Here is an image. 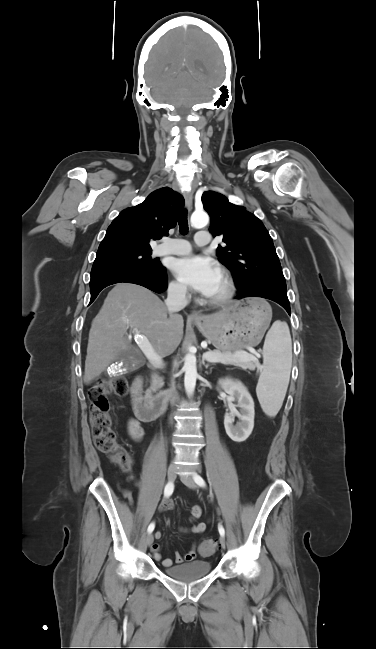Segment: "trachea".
Segmentation results:
<instances>
[{
  "instance_id": "trachea-1",
  "label": "trachea",
  "mask_w": 376,
  "mask_h": 649,
  "mask_svg": "<svg viewBox=\"0 0 376 649\" xmlns=\"http://www.w3.org/2000/svg\"><path fill=\"white\" fill-rule=\"evenodd\" d=\"M179 229H180V233L183 234V235L188 233V218H187V211L186 210H183L180 213V216H179Z\"/></svg>"
}]
</instances>
